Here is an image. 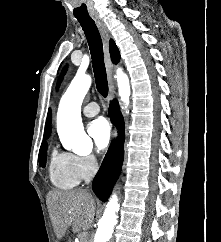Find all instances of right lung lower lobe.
I'll list each match as a JSON object with an SVG mask.
<instances>
[{
  "instance_id": "right-lung-lower-lobe-1",
  "label": "right lung lower lobe",
  "mask_w": 221,
  "mask_h": 242,
  "mask_svg": "<svg viewBox=\"0 0 221 242\" xmlns=\"http://www.w3.org/2000/svg\"><path fill=\"white\" fill-rule=\"evenodd\" d=\"M109 116L117 125L119 136L109 147L92 184L94 193L103 202H106L111 194L113 185L121 172L124 159V121L116 100L113 101L109 108Z\"/></svg>"
}]
</instances>
